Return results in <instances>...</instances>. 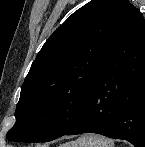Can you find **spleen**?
<instances>
[{"label":"spleen","instance_id":"3e777b00","mask_svg":"<svg viewBox=\"0 0 145 147\" xmlns=\"http://www.w3.org/2000/svg\"><path fill=\"white\" fill-rule=\"evenodd\" d=\"M67 147H114L113 140L96 134H86L67 143Z\"/></svg>","mask_w":145,"mask_h":147}]
</instances>
